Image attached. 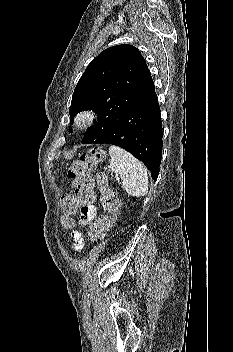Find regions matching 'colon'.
<instances>
[{
  "label": "colon",
  "instance_id": "1",
  "mask_svg": "<svg viewBox=\"0 0 233 352\" xmlns=\"http://www.w3.org/2000/svg\"><path fill=\"white\" fill-rule=\"evenodd\" d=\"M105 153L101 147H94L73 162L68 170V177L72 180L74 195L64 196L61 199V223L65 228L73 226L72 216L78 207H86L94 201L93 177L91 171L103 161ZM98 188L101 193V203L105 214L96 219L88 229L90 240L103 239L113 227L120 208L117 194L109 187L108 179L104 174L98 176Z\"/></svg>",
  "mask_w": 233,
  "mask_h": 352
}]
</instances>
